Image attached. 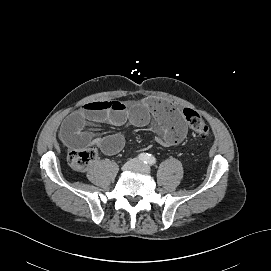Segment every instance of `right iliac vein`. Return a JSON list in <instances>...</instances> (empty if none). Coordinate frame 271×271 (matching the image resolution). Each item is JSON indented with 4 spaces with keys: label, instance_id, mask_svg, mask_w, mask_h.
Listing matches in <instances>:
<instances>
[{
    "label": "right iliac vein",
    "instance_id": "right-iliac-vein-1",
    "mask_svg": "<svg viewBox=\"0 0 271 271\" xmlns=\"http://www.w3.org/2000/svg\"><path fill=\"white\" fill-rule=\"evenodd\" d=\"M138 166V162L135 159H131L129 161H127L123 166H122V170L123 171H129L132 169H136Z\"/></svg>",
    "mask_w": 271,
    "mask_h": 271
}]
</instances>
